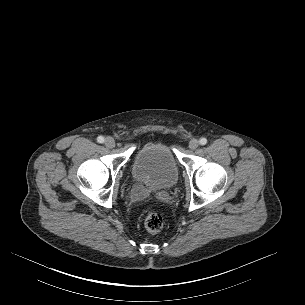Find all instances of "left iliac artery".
<instances>
[{
	"label": "left iliac artery",
	"mask_w": 305,
	"mask_h": 305,
	"mask_svg": "<svg viewBox=\"0 0 305 305\" xmlns=\"http://www.w3.org/2000/svg\"><path fill=\"white\" fill-rule=\"evenodd\" d=\"M199 142H200L201 145H205L207 143V139L203 137V138L200 139Z\"/></svg>",
	"instance_id": "obj_1"
}]
</instances>
